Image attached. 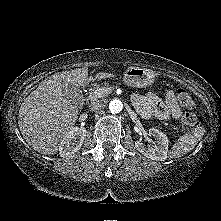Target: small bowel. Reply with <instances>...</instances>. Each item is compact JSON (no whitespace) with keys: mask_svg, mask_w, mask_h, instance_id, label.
<instances>
[{"mask_svg":"<svg viewBox=\"0 0 221 221\" xmlns=\"http://www.w3.org/2000/svg\"><path fill=\"white\" fill-rule=\"evenodd\" d=\"M133 101L138 112L147 119L179 120L182 117V111L172 90H166L164 99L159 98L154 93H150L146 96L136 94L133 97Z\"/></svg>","mask_w":221,"mask_h":221,"instance_id":"1","label":"small bowel"}]
</instances>
